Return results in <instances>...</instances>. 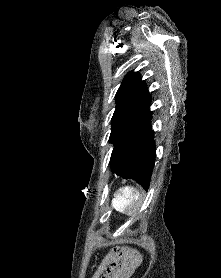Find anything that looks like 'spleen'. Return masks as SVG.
I'll use <instances>...</instances> for the list:
<instances>
[{
	"instance_id": "1",
	"label": "spleen",
	"mask_w": 221,
	"mask_h": 278,
	"mask_svg": "<svg viewBox=\"0 0 221 278\" xmlns=\"http://www.w3.org/2000/svg\"><path fill=\"white\" fill-rule=\"evenodd\" d=\"M139 198V192L133 187L126 186L114 194L112 206L120 213H125L134 201Z\"/></svg>"
}]
</instances>
